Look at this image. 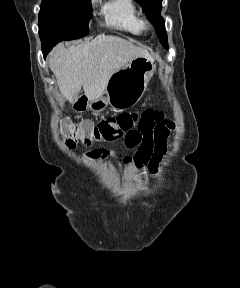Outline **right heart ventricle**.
<instances>
[{
	"label": "right heart ventricle",
	"instance_id": "obj_1",
	"mask_svg": "<svg viewBox=\"0 0 240 288\" xmlns=\"http://www.w3.org/2000/svg\"><path fill=\"white\" fill-rule=\"evenodd\" d=\"M108 26L133 35L144 31L143 20L133 0H108L102 7Z\"/></svg>",
	"mask_w": 240,
	"mask_h": 288
}]
</instances>
